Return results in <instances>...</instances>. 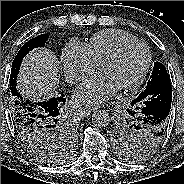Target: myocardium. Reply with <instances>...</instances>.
Returning <instances> with one entry per match:
<instances>
[{"instance_id": "obj_1", "label": "myocardium", "mask_w": 184, "mask_h": 184, "mask_svg": "<svg viewBox=\"0 0 184 184\" xmlns=\"http://www.w3.org/2000/svg\"><path fill=\"white\" fill-rule=\"evenodd\" d=\"M133 46H140L141 48H143L146 52V61L145 64L141 70V72L139 73V75L130 83H128L127 85L119 88V90L121 91H131L134 90L136 88H138L140 86V84L143 82V80L145 79L150 66H151V62H152V53L148 47V45L140 40H132V41H127L125 43H122L121 45H119L114 51H112L110 54H108L106 57H104L100 63L98 64V70H100L105 64H108L110 62L115 61L117 58H119V56L128 48L133 47Z\"/></svg>"}]
</instances>
